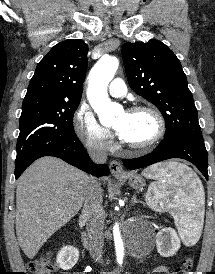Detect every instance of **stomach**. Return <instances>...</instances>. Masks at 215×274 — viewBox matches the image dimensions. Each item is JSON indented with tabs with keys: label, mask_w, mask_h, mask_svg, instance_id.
I'll return each mask as SVG.
<instances>
[{
	"label": "stomach",
	"mask_w": 215,
	"mask_h": 274,
	"mask_svg": "<svg viewBox=\"0 0 215 274\" xmlns=\"http://www.w3.org/2000/svg\"><path fill=\"white\" fill-rule=\"evenodd\" d=\"M118 178L121 179L122 177ZM126 180L134 189L142 188L145 185V180L138 174H130L126 177Z\"/></svg>",
	"instance_id": "obj_1"
}]
</instances>
